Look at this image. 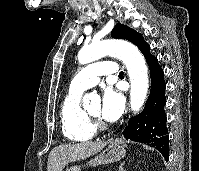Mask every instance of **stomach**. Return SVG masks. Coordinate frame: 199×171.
<instances>
[{
	"label": "stomach",
	"instance_id": "0dacf381",
	"mask_svg": "<svg viewBox=\"0 0 199 171\" xmlns=\"http://www.w3.org/2000/svg\"><path fill=\"white\" fill-rule=\"evenodd\" d=\"M126 155L125 146L121 145L118 141H112L108 147L100 154L91 159L87 165L96 166L100 164H108L121 160ZM65 171H81V166L67 167Z\"/></svg>",
	"mask_w": 199,
	"mask_h": 171
}]
</instances>
